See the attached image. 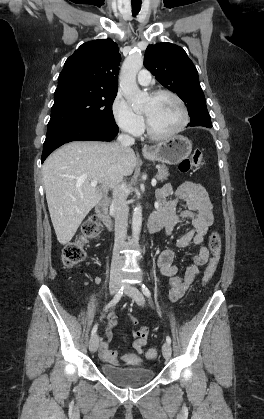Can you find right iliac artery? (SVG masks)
<instances>
[{"mask_svg":"<svg viewBox=\"0 0 264 419\" xmlns=\"http://www.w3.org/2000/svg\"><path fill=\"white\" fill-rule=\"evenodd\" d=\"M123 295V288H121L116 295L114 296V298L109 302L108 305L105 306L104 311L108 310V308L114 306L116 303H118V301L121 299ZM97 324L94 325V327L92 328L91 331V336L95 335L96 331H97Z\"/></svg>","mask_w":264,"mask_h":419,"instance_id":"1","label":"right iliac artery"}]
</instances>
